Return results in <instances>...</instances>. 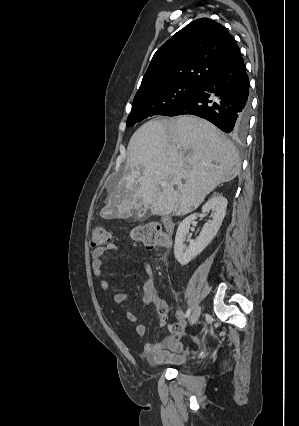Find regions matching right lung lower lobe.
<instances>
[{"label":"right lung lower lobe","mask_w":299,"mask_h":426,"mask_svg":"<svg viewBox=\"0 0 299 426\" xmlns=\"http://www.w3.org/2000/svg\"><path fill=\"white\" fill-rule=\"evenodd\" d=\"M249 86L240 55L165 116L196 115L226 133L241 137L247 129L250 115Z\"/></svg>","instance_id":"1"}]
</instances>
